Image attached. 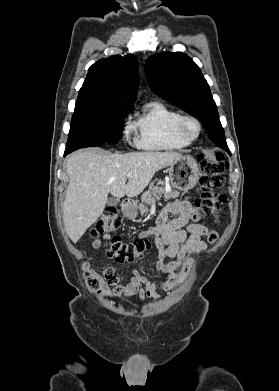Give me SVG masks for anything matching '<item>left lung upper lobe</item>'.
I'll return each mask as SVG.
<instances>
[{
    "label": "left lung upper lobe",
    "mask_w": 279,
    "mask_h": 391,
    "mask_svg": "<svg viewBox=\"0 0 279 391\" xmlns=\"http://www.w3.org/2000/svg\"><path fill=\"white\" fill-rule=\"evenodd\" d=\"M144 71L154 93L198 118L209 139L229 151L209 85L189 56L156 54L146 61Z\"/></svg>",
    "instance_id": "5c2ea615"
}]
</instances>
